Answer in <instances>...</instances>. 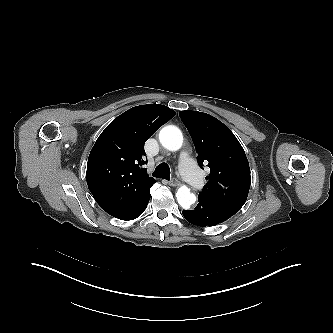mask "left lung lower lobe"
I'll list each match as a JSON object with an SVG mask.
<instances>
[{
  "instance_id": "1",
  "label": "left lung lower lobe",
  "mask_w": 333,
  "mask_h": 333,
  "mask_svg": "<svg viewBox=\"0 0 333 333\" xmlns=\"http://www.w3.org/2000/svg\"><path fill=\"white\" fill-rule=\"evenodd\" d=\"M198 205L194 210H183V216L197 226H215L229 219L232 214L215 203L198 196Z\"/></svg>"
}]
</instances>
